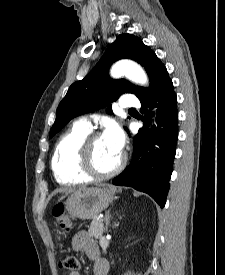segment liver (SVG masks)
Here are the masks:
<instances>
[{
  "instance_id": "6515ba94",
  "label": "liver",
  "mask_w": 225,
  "mask_h": 275,
  "mask_svg": "<svg viewBox=\"0 0 225 275\" xmlns=\"http://www.w3.org/2000/svg\"><path fill=\"white\" fill-rule=\"evenodd\" d=\"M86 188L85 187H83V188H80L79 190H77V191H80V190H85ZM73 192H76L75 190H72Z\"/></svg>"
}]
</instances>
